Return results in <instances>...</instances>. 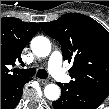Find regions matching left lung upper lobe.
Wrapping results in <instances>:
<instances>
[{
	"label": "left lung upper lobe",
	"mask_w": 109,
	"mask_h": 109,
	"mask_svg": "<svg viewBox=\"0 0 109 109\" xmlns=\"http://www.w3.org/2000/svg\"><path fill=\"white\" fill-rule=\"evenodd\" d=\"M40 27L61 44L64 60L73 61L72 82L109 94V33L104 27L79 13L41 22Z\"/></svg>",
	"instance_id": "left-lung-upper-lobe-1"
}]
</instances>
